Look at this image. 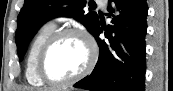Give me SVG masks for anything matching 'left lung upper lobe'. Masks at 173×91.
Instances as JSON below:
<instances>
[{"label": "left lung upper lobe", "instance_id": "left-lung-upper-lobe-1", "mask_svg": "<svg viewBox=\"0 0 173 91\" xmlns=\"http://www.w3.org/2000/svg\"><path fill=\"white\" fill-rule=\"evenodd\" d=\"M86 4V0H25L17 18L16 44L19 59L22 60L36 31L52 17H73L93 34L99 18L95 12L85 13L83 8Z\"/></svg>", "mask_w": 173, "mask_h": 91}]
</instances>
